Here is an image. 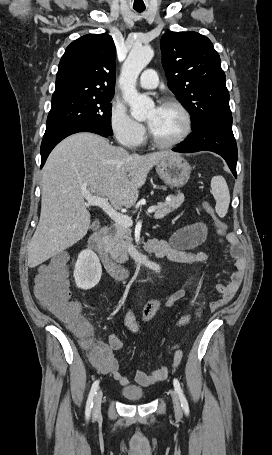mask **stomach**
Returning <instances> with one entry per match:
<instances>
[{"instance_id":"1","label":"stomach","mask_w":272,"mask_h":455,"mask_svg":"<svg viewBox=\"0 0 272 455\" xmlns=\"http://www.w3.org/2000/svg\"><path fill=\"white\" fill-rule=\"evenodd\" d=\"M156 172L166 184L179 188L188 182L191 167L180 155H168L156 164Z\"/></svg>"}]
</instances>
